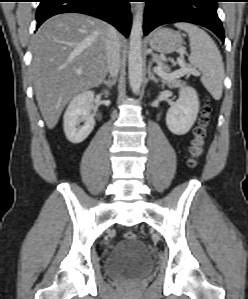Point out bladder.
Here are the masks:
<instances>
[{
	"mask_svg": "<svg viewBox=\"0 0 248 299\" xmlns=\"http://www.w3.org/2000/svg\"><path fill=\"white\" fill-rule=\"evenodd\" d=\"M153 262L144 243L140 240L119 242L108 254L104 269L115 279L142 278L152 269Z\"/></svg>",
	"mask_w": 248,
	"mask_h": 299,
	"instance_id": "bladder-1",
	"label": "bladder"
}]
</instances>
